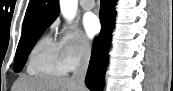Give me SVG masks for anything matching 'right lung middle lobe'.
Masks as SVG:
<instances>
[{
    "label": "right lung middle lobe",
    "mask_w": 173,
    "mask_h": 91,
    "mask_svg": "<svg viewBox=\"0 0 173 91\" xmlns=\"http://www.w3.org/2000/svg\"><path fill=\"white\" fill-rule=\"evenodd\" d=\"M48 26L49 25L43 24L29 31L22 32V36L17 47L14 61V71L16 73H18L22 69L29 52L35 45L37 39L40 37L42 32Z\"/></svg>",
    "instance_id": "right-lung-middle-lobe-1"
}]
</instances>
